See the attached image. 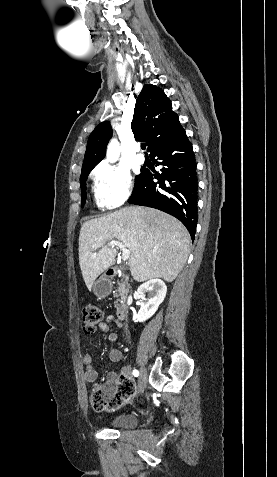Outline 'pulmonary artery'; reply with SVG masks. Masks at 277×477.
<instances>
[{
  "instance_id": "1",
  "label": "pulmonary artery",
  "mask_w": 277,
  "mask_h": 477,
  "mask_svg": "<svg viewBox=\"0 0 277 477\" xmlns=\"http://www.w3.org/2000/svg\"><path fill=\"white\" fill-rule=\"evenodd\" d=\"M135 160H136L137 163L143 164L144 161H145V157H144L143 154L137 153L136 156H135Z\"/></svg>"
}]
</instances>
